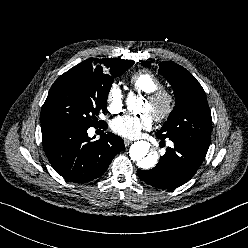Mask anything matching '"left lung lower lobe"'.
<instances>
[{
  "label": "left lung lower lobe",
  "instance_id": "obj_1",
  "mask_svg": "<svg viewBox=\"0 0 248 248\" xmlns=\"http://www.w3.org/2000/svg\"><path fill=\"white\" fill-rule=\"evenodd\" d=\"M157 137L161 140L158 134ZM174 148L167 147L165 155L150 170H137L139 178L160 189H174L188 182L205 159L207 150L195 148L184 142L173 140Z\"/></svg>",
  "mask_w": 248,
  "mask_h": 248
}]
</instances>
